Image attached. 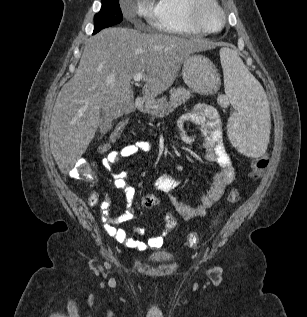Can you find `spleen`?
Wrapping results in <instances>:
<instances>
[{"instance_id":"3e777b00","label":"spleen","mask_w":307,"mask_h":317,"mask_svg":"<svg viewBox=\"0 0 307 317\" xmlns=\"http://www.w3.org/2000/svg\"><path fill=\"white\" fill-rule=\"evenodd\" d=\"M220 60L225 92L238 107V113L228 120V137L245 155L261 156L269 141L270 106L266 94L235 51L222 48Z\"/></svg>"}]
</instances>
